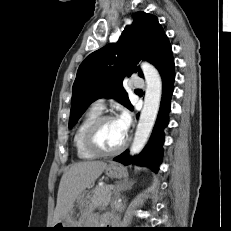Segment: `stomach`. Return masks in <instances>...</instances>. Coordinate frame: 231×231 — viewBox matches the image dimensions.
Returning <instances> with one entry per match:
<instances>
[{
	"label": "stomach",
	"instance_id": "stomach-1",
	"mask_svg": "<svg viewBox=\"0 0 231 231\" xmlns=\"http://www.w3.org/2000/svg\"><path fill=\"white\" fill-rule=\"evenodd\" d=\"M105 174L110 178H122L124 177L127 172L126 169L117 163H110L105 168ZM88 199H90V195L87 194L82 195L78 200L77 203L80 209H83L88 205ZM83 220L80 219L79 221H75L71 218V216L63 221L56 223L52 228L53 231H72L76 229L71 228H83L81 227Z\"/></svg>",
	"mask_w": 231,
	"mask_h": 231
}]
</instances>
